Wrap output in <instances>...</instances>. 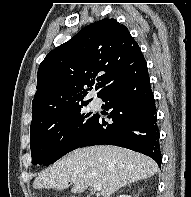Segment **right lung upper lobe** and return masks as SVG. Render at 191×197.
I'll return each mask as SVG.
<instances>
[{"mask_svg":"<svg viewBox=\"0 0 191 197\" xmlns=\"http://www.w3.org/2000/svg\"><path fill=\"white\" fill-rule=\"evenodd\" d=\"M146 65L137 42L115 19L104 18L84 27L50 51L40 64L30 129L85 103L83 98L95 80L99 97L108 87Z\"/></svg>","mask_w":191,"mask_h":197,"instance_id":"right-lung-upper-lobe-1","label":"right lung upper lobe"}]
</instances>
